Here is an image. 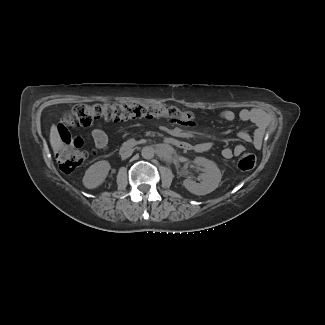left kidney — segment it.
Masks as SVG:
<instances>
[{
  "instance_id": "obj_1",
  "label": "left kidney",
  "mask_w": 325,
  "mask_h": 325,
  "mask_svg": "<svg viewBox=\"0 0 325 325\" xmlns=\"http://www.w3.org/2000/svg\"><path fill=\"white\" fill-rule=\"evenodd\" d=\"M194 164L204 168V173L201 174V182L197 183L190 178L183 181V186L195 195H206L213 192L219 185L222 179L221 170L211 160L205 157H195Z\"/></svg>"
}]
</instances>
